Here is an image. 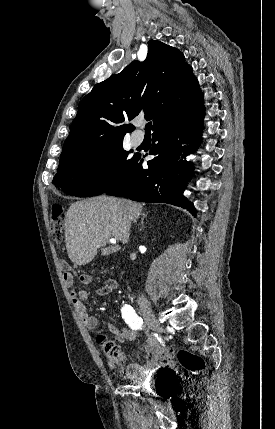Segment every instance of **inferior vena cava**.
Instances as JSON below:
<instances>
[{
    "instance_id": "602c4592",
    "label": "inferior vena cava",
    "mask_w": 275,
    "mask_h": 429,
    "mask_svg": "<svg viewBox=\"0 0 275 429\" xmlns=\"http://www.w3.org/2000/svg\"><path fill=\"white\" fill-rule=\"evenodd\" d=\"M139 302H147V299L144 297V295L139 297Z\"/></svg>"
}]
</instances>
